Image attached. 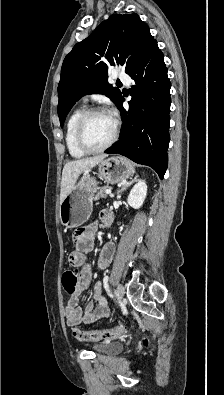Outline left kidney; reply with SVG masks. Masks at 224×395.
I'll list each match as a JSON object with an SVG mask.
<instances>
[{
    "label": "left kidney",
    "mask_w": 224,
    "mask_h": 395,
    "mask_svg": "<svg viewBox=\"0 0 224 395\" xmlns=\"http://www.w3.org/2000/svg\"><path fill=\"white\" fill-rule=\"evenodd\" d=\"M138 182L131 189L127 202L134 209L140 208L146 198L147 185L144 180H137Z\"/></svg>",
    "instance_id": "5707ae66"
}]
</instances>
